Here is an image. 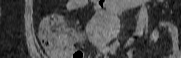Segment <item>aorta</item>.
Here are the masks:
<instances>
[{
    "instance_id": "obj_1",
    "label": "aorta",
    "mask_w": 181,
    "mask_h": 58,
    "mask_svg": "<svg viewBox=\"0 0 181 58\" xmlns=\"http://www.w3.org/2000/svg\"><path fill=\"white\" fill-rule=\"evenodd\" d=\"M145 2L144 0L139 11L136 32H143L147 23L148 11Z\"/></svg>"
}]
</instances>
